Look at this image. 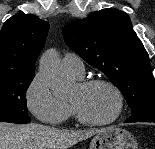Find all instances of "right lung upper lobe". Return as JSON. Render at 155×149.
<instances>
[{
    "label": "right lung upper lobe",
    "mask_w": 155,
    "mask_h": 149,
    "mask_svg": "<svg viewBox=\"0 0 155 149\" xmlns=\"http://www.w3.org/2000/svg\"><path fill=\"white\" fill-rule=\"evenodd\" d=\"M48 30V22L32 14L9 18L0 31V75L35 71Z\"/></svg>",
    "instance_id": "right-lung-upper-lobe-1"
}]
</instances>
